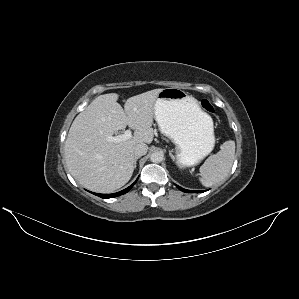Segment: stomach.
Returning a JSON list of instances; mask_svg holds the SVG:
<instances>
[{"mask_svg":"<svg viewBox=\"0 0 299 299\" xmlns=\"http://www.w3.org/2000/svg\"><path fill=\"white\" fill-rule=\"evenodd\" d=\"M155 120L161 133L177 147L180 167L196 165L215 143L213 120L197 99L171 87L162 89L155 101Z\"/></svg>","mask_w":299,"mask_h":299,"instance_id":"0dacf381","label":"stomach"}]
</instances>
